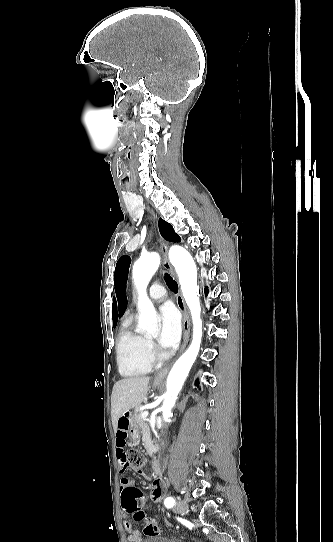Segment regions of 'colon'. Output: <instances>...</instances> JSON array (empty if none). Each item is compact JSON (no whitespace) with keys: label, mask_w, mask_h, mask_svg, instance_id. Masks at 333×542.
<instances>
[{"label":"colon","mask_w":333,"mask_h":542,"mask_svg":"<svg viewBox=\"0 0 333 542\" xmlns=\"http://www.w3.org/2000/svg\"><path fill=\"white\" fill-rule=\"evenodd\" d=\"M129 468L136 472H142L146 456L142 451L134 450L129 454ZM143 499V490L140 489L138 483H130L129 487L122 490L121 503L123 504V512L125 516H132L133 520L142 526V529L151 537H157V529L150 526L153 524V517L147 516L145 511L139 510L137 500Z\"/></svg>","instance_id":"obj_1"}]
</instances>
